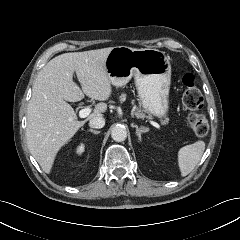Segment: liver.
I'll return each mask as SVG.
<instances>
[{"label":"liver","instance_id":"1","mask_svg":"<svg viewBox=\"0 0 240 240\" xmlns=\"http://www.w3.org/2000/svg\"><path fill=\"white\" fill-rule=\"evenodd\" d=\"M112 47L64 53L50 60L38 73L27 108L26 138L30 153L45 173H50L55 157L84 125L68 102L88 96L107 100L112 87L105 60ZM74 72L82 90L73 81ZM85 94V95H84ZM106 103H98L89 119L101 115Z\"/></svg>","mask_w":240,"mask_h":240}]
</instances>
